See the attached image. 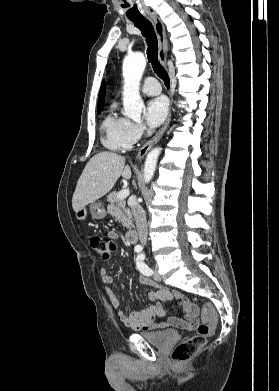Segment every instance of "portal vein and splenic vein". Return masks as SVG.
<instances>
[{"mask_svg": "<svg viewBox=\"0 0 279 391\" xmlns=\"http://www.w3.org/2000/svg\"><path fill=\"white\" fill-rule=\"evenodd\" d=\"M129 193H130V190L128 188H124L117 194V198L118 199H125L129 196Z\"/></svg>", "mask_w": 279, "mask_h": 391, "instance_id": "portal-vein-and-splenic-vein-1", "label": "portal vein and splenic vein"}]
</instances>
